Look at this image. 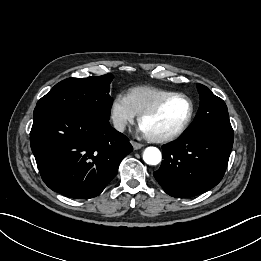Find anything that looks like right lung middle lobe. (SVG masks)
I'll return each instance as SVG.
<instances>
[{
    "instance_id": "1",
    "label": "right lung middle lobe",
    "mask_w": 261,
    "mask_h": 261,
    "mask_svg": "<svg viewBox=\"0 0 261 261\" xmlns=\"http://www.w3.org/2000/svg\"><path fill=\"white\" fill-rule=\"evenodd\" d=\"M112 79L110 73L97 77L65 79L43 96L36 107L89 113L108 122L113 101L109 95Z\"/></svg>"
}]
</instances>
